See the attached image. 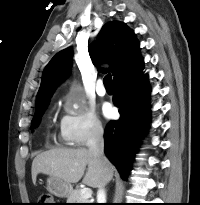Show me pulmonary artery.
<instances>
[{"label":"pulmonary artery","mask_w":200,"mask_h":205,"mask_svg":"<svg viewBox=\"0 0 200 205\" xmlns=\"http://www.w3.org/2000/svg\"><path fill=\"white\" fill-rule=\"evenodd\" d=\"M96 92L99 96H105L106 95V89H105V87L103 85V82L101 80H99L97 82Z\"/></svg>","instance_id":"obj_1"}]
</instances>
